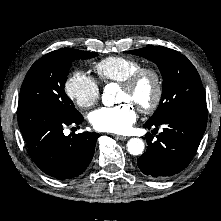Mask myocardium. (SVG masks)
<instances>
[{"mask_svg":"<svg viewBox=\"0 0 221 221\" xmlns=\"http://www.w3.org/2000/svg\"><path fill=\"white\" fill-rule=\"evenodd\" d=\"M150 76L154 82V95L151 102L145 106L137 107L142 114L153 113L160 105L163 96V81L160 73L152 67H142L132 73L124 81L120 83V86L126 90H132L145 77Z\"/></svg>","mask_w":221,"mask_h":221,"instance_id":"1","label":"myocardium"}]
</instances>
